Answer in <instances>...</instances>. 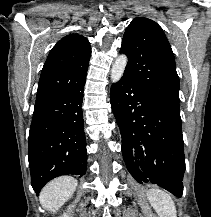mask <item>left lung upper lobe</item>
I'll return each mask as SVG.
<instances>
[{
	"instance_id": "1",
	"label": "left lung upper lobe",
	"mask_w": 211,
	"mask_h": 217,
	"mask_svg": "<svg viewBox=\"0 0 211 217\" xmlns=\"http://www.w3.org/2000/svg\"><path fill=\"white\" fill-rule=\"evenodd\" d=\"M120 53L128 57L124 76L166 110L180 115L179 77L162 28L148 18H135L124 33Z\"/></svg>"
}]
</instances>
